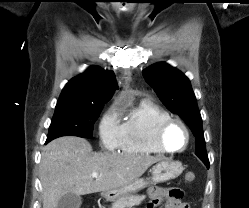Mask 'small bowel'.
<instances>
[{
	"label": "small bowel",
	"mask_w": 249,
	"mask_h": 208,
	"mask_svg": "<svg viewBox=\"0 0 249 208\" xmlns=\"http://www.w3.org/2000/svg\"><path fill=\"white\" fill-rule=\"evenodd\" d=\"M150 203L147 208H156L165 201V208H189L188 204L182 202V191L178 188H167L154 186L149 189Z\"/></svg>",
	"instance_id": "c3829d8e"
}]
</instances>
